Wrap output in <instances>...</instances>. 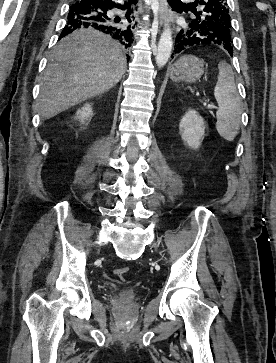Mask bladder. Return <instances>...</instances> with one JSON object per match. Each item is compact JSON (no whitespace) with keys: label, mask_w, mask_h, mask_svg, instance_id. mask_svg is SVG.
<instances>
[{"label":"bladder","mask_w":276,"mask_h":363,"mask_svg":"<svg viewBox=\"0 0 276 363\" xmlns=\"http://www.w3.org/2000/svg\"><path fill=\"white\" fill-rule=\"evenodd\" d=\"M121 296L125 301L131 302L136 296V290L133 287H127L121 291Z\"/></svg>","instance_id":"1"}]
</instances>
